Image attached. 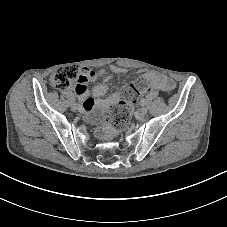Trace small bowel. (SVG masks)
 I'll return each instance as SVG.
<instances>
[{
	"label": "small bowel",
	"mask_w": 227,
	"mask_h": 227,
	"mask_svg": "<svg viewBox=\"0 0 227 227\" xmlns=\"http://www.w3.org/2000/svg\"><path fill=\"white\" fill-rule=\"evenodd\" d=\"M111 71L115 73H124L127 70L118 65H112ZM104 71H100V75H103ZM97 77L96 72L89 68H84L81 71L80 79L74 86L75 92L78 94L82 103L83 111L88 115L97 108H106L114 104L117 99V95H112L106 99L102 98L109 91V86L105 82L107 77H104V82L100 83L92 88L87 87V82L95 80ZM143 78L147 82L146 91L153 92L160 90L166 93H170L175 89V82L164 74L159 73H146Z\"/></svg>",
	"instance_id": "obj_1"
}]
</instances>
